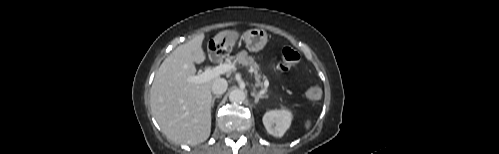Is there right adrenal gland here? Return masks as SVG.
<instances>
[{"instance_id":"obj_1","label":"right adrenal gland","mask_w":499,"mask_h":154,"mask_svg":"<svg viewBox=\"0 0 499 154\" xmlns=\"http://www.w3.org/2000/svg\"><path fill=\"white\" fill-rule=\"evenodd\" d=\"M217 98H221V95H216V96H214V97L212 98L211 107H213V106H214L215 100H216Z\"/></svg>"}]
</instances>
